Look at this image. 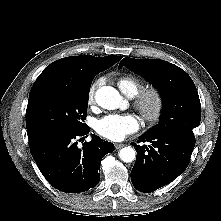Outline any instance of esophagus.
<instances>
[{"label":"esophagus","mask_w":221,"mask_h":221,"mask_svg":"<svg viewBox=\"0 0 221 221\" xmlns=\"http://www.w3.org/2000/svg\"><path fill=\"white\" fill-rule=\"evenodd\" d=\"M124 146L122 143H115V149H120Z\"/></svg>","instance_id":"obj_1"}]
</instances>
